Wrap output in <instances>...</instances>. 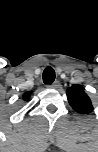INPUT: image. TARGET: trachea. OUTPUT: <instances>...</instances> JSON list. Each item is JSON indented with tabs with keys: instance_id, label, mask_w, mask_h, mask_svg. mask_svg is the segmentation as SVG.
<instances>
[{
	"instance_id": "trachea-1",
	"label": "trachea",
	"mask_w": 98,
	"mask_h": 152,
	"mask_svg": "<svg viewBox=\"0 0 98 152\" xmlns=\"http://www.w3.org/2000/svg\"><path fill=\"white\" fill-rule=\"evenodd\" d=\"M55 80V71L52 67L45 68L43 72V82L45 84H52Z\"/></svg>"
}]
</instances>
